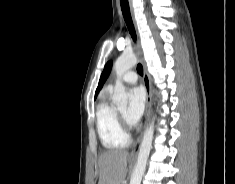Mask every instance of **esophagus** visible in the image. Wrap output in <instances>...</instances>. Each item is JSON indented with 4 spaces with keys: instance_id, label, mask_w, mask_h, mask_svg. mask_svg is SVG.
I'll list each match as a JSON object with an SVG mask.
<instances>
[{
    "instance_id": "esophagus-1",
    "label": "esophagus",
    "mask_w": 235,
    "mask_h": 184,
    "mask_svg": "<svg viewBox=\"0 0 235 184\" xmlns=\"http://www.w3.org/2000/svg\"><path fill=\"white\" fill-rule=\"evenodd\" d=\"M129 5H130V11H131V14H132L133 22H134V25H135V28H136V23H135V19H134V13H133L131 0H129ZM135 52H136L142 66H143V72H144V74H143V84H144L145 89H146V110H145V124H144V127H146L147 123H148V119H149V112H150L151 83H150V78H149V75H148L146 62L144 60L143 51H142L139 39H138L137 45L135 47ZM142 138H143V132L140 134V136L136 140V142L133 146V149L130 153V156H137V154L139 152V148H140Z\"/></svg>"
}]
</instances>
